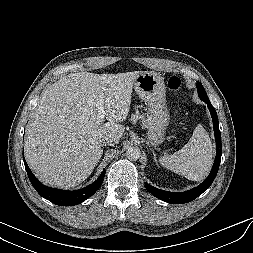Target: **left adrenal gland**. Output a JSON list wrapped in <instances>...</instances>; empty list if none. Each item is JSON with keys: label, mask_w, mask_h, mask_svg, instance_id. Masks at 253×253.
Wrapping results in <instances>:
<instances>
[{"label": "left adrenal gland", "mask_w": 253, "mask_h": 253, "mask_svg": "<svg viewBox=\"0 0 253 253\" xmlns=\"http://www.w3.org/2000/svg\"><path fill=\"white\" fill-rule=\"evenodd\" d=\"M153 155H154V160H155V162L157 164L158 162H157L156 154L154 153V151H153Z\"/></svg>", "instance_id": "1"}]
</instances>
